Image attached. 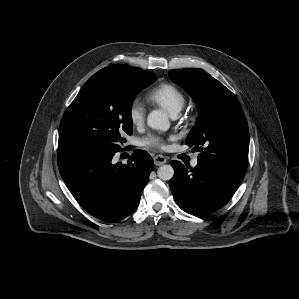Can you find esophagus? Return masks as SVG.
<instances>
[{"mask_svg": "<svg viewBox=\"0 0 299 299\" xmlns=\"http://www.w3.org/2000/svg\"><path fill=\"white\" fill-rule=\"evenodd\" d=\"M153 159H154V164L157 166L163 165L167 162L166 157L162 155H156Z\"/></svg>", "mask_w": 299, "mask_h": 299, "instance_id": "1", "label": "esophagus"}]
</instances>
